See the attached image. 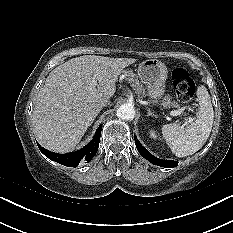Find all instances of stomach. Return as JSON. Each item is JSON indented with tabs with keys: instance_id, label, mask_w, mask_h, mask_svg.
Masks as SVG:
<instances>
[{
	"instance_id": "obj_1",
	"label": "stomach",
	"mask_w": 233,
	"mask_h": 233,
	"mask_svg": "<svg viewBox=\"0 0 233 233\" xmlns=\"http://www.w3.org/2000/svg\"><path fill=\"white\" fill-rule=\"evenodd\" d=\"M167 67L157 59H147L139 64L138 76L146 86L147 95L153 105L160 102L165 93Z\"/></svg>"
}]
</instances>
